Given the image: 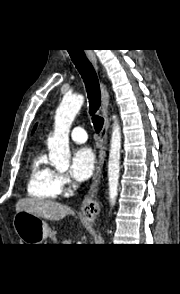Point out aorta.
<instances>
[{
    "label": "aorta",
    "instance_id": "762f6f07",
    "mask_svg": "<svg viewBox=\"0 0 180 294\" xmlns=\"http://www.w3.org/2000/svg\"><path fill=\"white\" fill-rule=\"evenodd\" d=\"M84 103L82 95L65 96L56 110L54 132L47 140L49 160L57 169L66 170L71 158L69 132L72 122ZM121 129L114 117L108 158V191L113 206L120 176Z\"/></svg>",
    "mask_w": 180,
    "mask_h": 294
}]
</instances>
